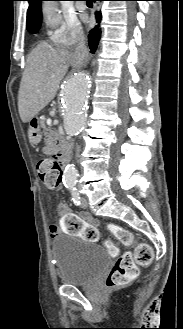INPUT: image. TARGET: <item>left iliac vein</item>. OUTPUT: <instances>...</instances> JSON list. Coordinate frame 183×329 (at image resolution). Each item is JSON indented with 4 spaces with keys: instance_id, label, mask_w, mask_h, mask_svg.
Listing matches in <instances>:
<instances>
[{
    "instance_id": "4c4485c4",
    "label": "left iliac vein",
    "mask_w": 183,
    "mask_h": 329,
    "mask_svg": "<svg viewBox=\"0 0 183 329\" xmlns=\"http://www.w3.org/2000/svg\"><path fill=\"white\" fill-rule=\"evenodd\" d=\"M80 204H81V207L84 208V209L88 207V202L85 198H81V203Z\"/></svg>"
}]
</instances>
